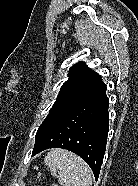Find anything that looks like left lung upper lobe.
Listing matches in <instances>:
<instances>
[{
    "mask_svg": "<svg viewBox=\"0 0 138 186\" xmlns=\"http://www.w3.org/2000/svg\"><path fill=\"white\" fill-rule=\"evenodd\" d=\"M68 77L48 116L40 125L35 141L59 118L103 84L101 77L88 68L84 62L73 65L69 70Z\"/></svg>",
    "mask_w": 138,
    "mask_h": 186,
    "instance_id": "obj_1",
    "label": "left lung upper lobe"
}]
</instances>
